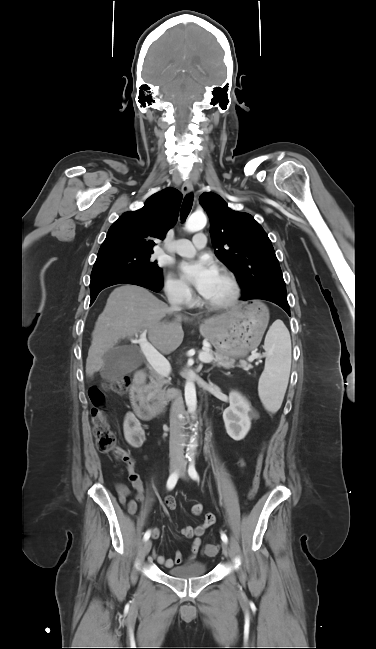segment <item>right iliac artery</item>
<instances>
[{"instance_id": "right-iliac-artery-1", "label": "right iliac artery", "mask_w": 376, "mask_h": 649, "mask_svg": "<svg viewBox=\"0 0 376 649\" xmlns=\"http://www.w3.org/2000/svg\"><path fill=\"white\" fill-rule=\"evenodd\" d=\"M177 481H178V473H177V472H173V473L169 476V478H168V480H167V488H168L169 490H172V489L175 487ZM150 534H151V533H150L149 530L145 532L144 537H143L144 541H147V540L150 538Z\"/></svg>"}]
</instances>
